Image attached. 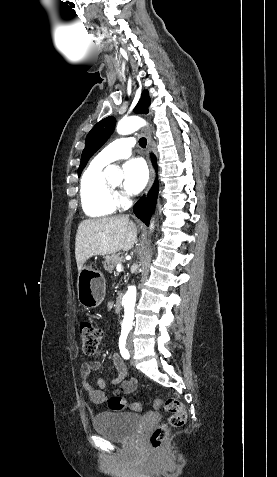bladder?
Here are the masks:
<instances>
[{
  "label": "bladder",
  "mask_w": 277,
  "mask_h": 477,
  "mask_svg": "<svg viewBox=\"0 0 277 477\" xmlns=\"http://www.w3.org/2000/svg\"><path fill=\"white\" fill-rule=\"evenodd\" d=\"M142 418L132 412H104L93 421L94 430L111 441H125L133 437L141 425Z\"/></svg>",
  "instance_id": "31cf9c89"
}]
</instances>
